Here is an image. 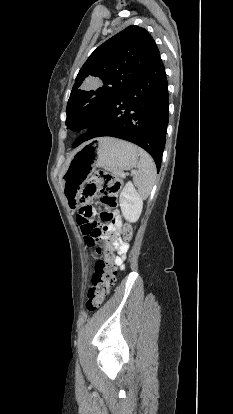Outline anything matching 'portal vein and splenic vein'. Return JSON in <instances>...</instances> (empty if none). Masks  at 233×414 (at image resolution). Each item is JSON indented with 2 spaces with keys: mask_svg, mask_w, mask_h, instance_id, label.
Returning <instances> with one entry per match:
<instances>
[{
  "mask_svg": "<svg viewBox=\"0 0 233 414\" xmlns=\"http://www.w3.org/2000/svg\"><path fill=\"white\" fill-rule=\"evenodd\" d=\"M131 173H133V174H134V173H136V171H134V170H133ZM125 176H126V174H125V173H123V174H122V177L124 178Z\"/></svg>",
  "mask_w": 233,
  "mask_h": 414,
  "instance_id": "obj_1",
  "label": "portal vein and splenic vein"
}]
</instances>
